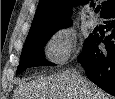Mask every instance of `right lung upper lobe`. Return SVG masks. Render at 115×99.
I'll use <instances>...</instances> for the list:
<instances>
[{
	"instance_id": "cb5924a9",
	"label": "right lung upper lobe",
	"mask_w": 115,
	"mask_h": 99,
	"mask_svg": "<svg viewBox=\"0 0 115 99\" xmlns=\"http://www.w3.org/2000/svg\"><path fill=\"white\" fill-rule=\"evenodd\" d=\"M88 2L89 0H40L28 36L49 33L71 25L72 6ZM90 6L94 7V3ZM113 10L115 0L102 2L101 17Z\"/></svg>"
}]
</instances>
